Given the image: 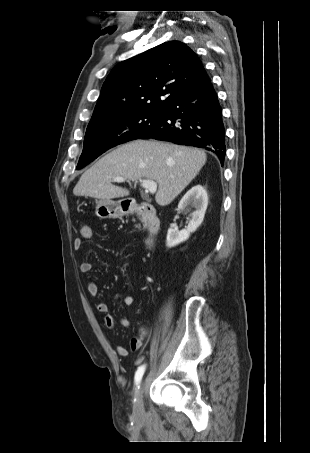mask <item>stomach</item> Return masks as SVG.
I'll return each mask as SVG.
<instances>
[{
    "label": "stomach",
    "instance_id": "0dacf381",
    "mask_svg": "<svg viewBox=\"0 0 310 453\" xmlns=\"http://www.w3.org/2000/svg\"><path fill=\"white\" fill-rule=\"evenodd\" d=\"M124 200L112 201L99 199L96 201V215L101 219H115L128 213V209L123 204Z\"/></svg>",
    "mask_w": 310,
    "mask_h": 453
}]
</instances>
